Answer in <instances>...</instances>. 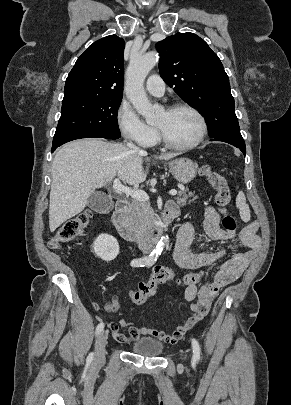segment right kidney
<instances>
[{
	"label": "right kidney",
	"mask_w": 291,
	"mask_h": 405,
	"mask_svg": "<svg viewBox=\"0 0 291 405\" xmlns=\"http://www.w3.org/2000/svg\"><path fill=\"white\" fill-rule=\"evenodd\" d=\"M93 250L102 260L112 261L119 254V243L113 236L100 234L94 241Z\"/></svg>",
	"instance_id": "obj_1"
}]
</instances>
